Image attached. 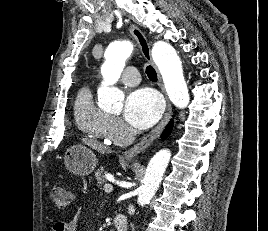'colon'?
<instances>
[{
	"mask_svg": "<svg viewBox=\"0 0 268 231\" xmlns=\"http://www.w3.org/2000/svg\"><path fill=\"white\" fill-rule=\"evenodd\" d=\"M52 197L56 206L60 209L66 208L70 203V195L63 188L54 187L52 189Z\"/></svg>",
	"mask_w": 268,
	"mask_h": 231,
	"instance_id": "1",
	"label": "colon"
}]
</instances>
